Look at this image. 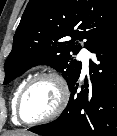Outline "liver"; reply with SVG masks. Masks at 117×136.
I'll use <instances>...</instances> for the list:
<instances>
[{
	"label": "liver",
	"mask_w": 117,
	"mask_h": 136,
	"mask_svg": "<svg viewBox=\"0 0 117 136\" xmlns=\"http://www.w3.org/2000/svg\"><path fill=\"white\" fill-rule=\"evenodd\" d=\"M8 136H34V135L26 131H16V132L10 133Z\"/></svg>",
	"instance_id": "1"
}]
</instances>
